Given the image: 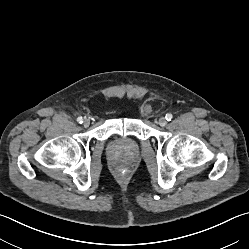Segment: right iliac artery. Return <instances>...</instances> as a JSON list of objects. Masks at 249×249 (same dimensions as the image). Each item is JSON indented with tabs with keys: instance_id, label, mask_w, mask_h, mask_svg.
I'll return each mask as SVG.
<instances>
[{
	"instance_id": "1",
	"label": "right iliac artery",
	"mask_w": 249,
	"mask_h": 249,
	"mask_svg": "<svg viewBox=\"0 0 249 249\" xmlns=\"http://www.w3.org/2000/svg\"><path fill=\"white\" fill-rule=\"evenodd\" d=\"M77 122L80 123V124H82L83 123V118L82 117H78L77 118Z\"/></svg>"
}]
</instances>
